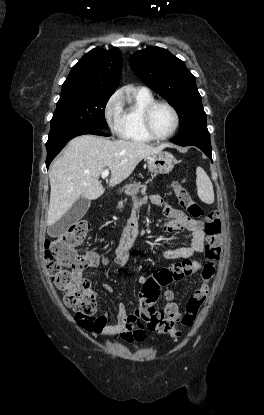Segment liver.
<instances>
[{
    "instance_id": "6515ba94",
    "label": "liver",
    "mask_w": 264,
    "mask_h": 415,
    "mask_svg": "<svg viewBox=\"0 0 264 415\" xmlns=\"http://www.w3.org/2000/svg\"><path fill=\"white\" fill-rule=\"evenodd\" d=\"M166 147V144L153 147L136 141H111L93 135L75 137L49 171L47 225L59 221L79 197L99 198L105 191L99 181L104 169L111 171L109 186H115L128 178L142 159Z\"/></svg>"
}]
</instances>
